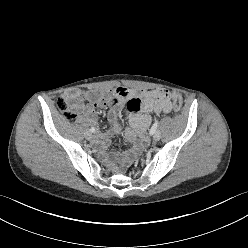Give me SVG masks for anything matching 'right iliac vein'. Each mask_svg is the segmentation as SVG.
Instances as JSON below:
<instances>
[{
	"label": "right iliac vein",
	"instance_id": "1",
	"mask_svg": "<svg viewBox=\"0 0 248 248\" xmlns=\"http://www.w3.org/2000/svg\"><path fill=\"white\" fill-rule=\"evenodd\" d=\"M85 137H86V139L91 140L92 137H93L91 131H86V132H85Z\"/></svg>",
	"mask_w": 248,
	"mask_h": 248
}]
</instances>
